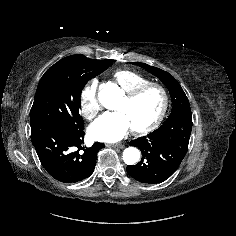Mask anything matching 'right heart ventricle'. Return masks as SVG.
Returning <instances> with one entry per match:
<instances>
[{"label": "right heart ventricle", "mask_w": 236, "mask_h": 236, "mask_svg": "<svg viewBox=\"0 0 236 236\" xmlns=\"http://www.w3.org/2000/svg\"><path fill=\"white\" fill-rule=\"evenodd\" d=\"M112 78L125 92L150 82L144 75L130 69H118L113 72Z\"/></svg>", "instance_id": "right-heart-ventricle-1"}]
</instances>
